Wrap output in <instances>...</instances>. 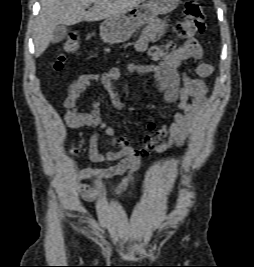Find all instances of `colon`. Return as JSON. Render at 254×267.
<instances>
[{
    "mask_svg": "<svg viewBox=\"0 0 254 267\" xmlns=\"http://www.w3.org/2000/svg\"><path fill=\"white\" fill-rule=\"evenodd\" d=\"M205 29V14L201 4L197 0H187L183 8L182 19L175 24L174 32L179 39H191L196 34L202 33ZM172 43L152 46L149 49V55L155 59H163L171 54ZM79 49V39L73 32L69 33L62 43V53L54 63L56 71L62 70L67 58L75 54ZM172 165L175 167L176 162Z\"/></svg>",
    "mask_w": 254,
    "mask_h": 267,
    "instance_id": "obj_1",
    "label": "colon"
}]
</instances>
